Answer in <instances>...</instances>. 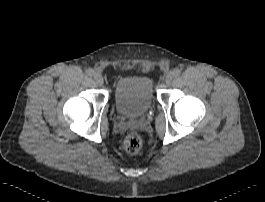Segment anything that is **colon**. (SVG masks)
<instances>
[{"mask_svg": "<svg viewBox=\"0 0 265 202\" xmlns=\"http://www.w3.org/2000/svg\"><path fill=\"white\" fill-rule=\"evenodd\" d=\"M142 147V137L138 133H130L124 140V148L129 154H136Z\"/></svg>", "mask_w": 265, "mask_h": 202, "instance_id": "colon-1", "label": "colon"}]
</instances>
